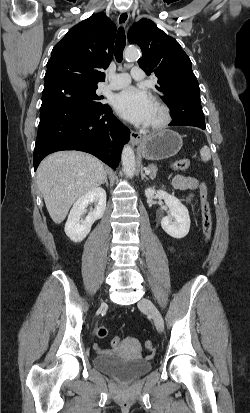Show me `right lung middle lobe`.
Listing matches in <instances>:
<instances>
[{"mask_svg": "<svg viewBox=\"0 0 250 413\" xmlns=\"http://www.w3.org/2000/svg\"><path fill=\"white\" fill-rule=\"evenodd\" d=\"M97 88L98 87L67 86L55 89L47 94H43L40 110L55 103H72L91 108L107 106V104L101 102L104 97L96 94Z\"/></svg>", "mask_w": 250, "mask_h": 413, "instance_id": "obj_1", "label": "right lung middle lobe"}]
</instances>
